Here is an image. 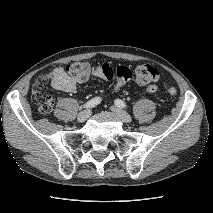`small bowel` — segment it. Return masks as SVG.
Here are the masks:
<instances>
[{
  "instance_id": "obj_1",
  "label": "small bowel",
  "mask_w": 213,
  "mask_h": 213,
  "mask_svg": "<svg viewBox=\"0 0 213 213\" xmlns=\"http://www.w3.org/2000/svg\"><path fill=\"white\" fill-rule=\"evenodd\" d=\"M100 67L112 68L109 63H103ZM48 77L51 81V86L53 87V89L64 93L75 92L77 81L74 78H72L63 68L61 67L54 68L50 72ZM101 78L106 79L104 76H102ZM156 90L157 87L155 85L147 87V91L149 93H154L156 92Z\"/></svg>"
}]
</instances>
